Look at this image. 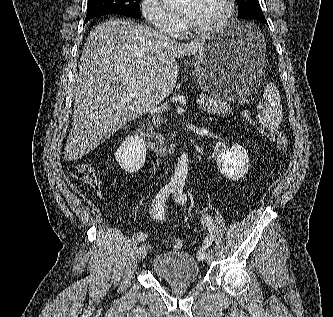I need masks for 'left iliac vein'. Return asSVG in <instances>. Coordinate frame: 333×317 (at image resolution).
Segmentation results:
<instances>
[{"mask_svg": "<svg viewBox=\"0 0 333 317\" xmlns=\"http://www.w3.org/2000/svg\"><path fill=\"white\" fill-rule=\"evenodd\" d=\"M213 257H214V253L209 251L205 256V261L207 263H210L213 260Z\"/></svg>", "mask_w": 333, "mask_h": 317, "instance_id": "obj_1", "label": "left iliac vein"}]
</instances>
